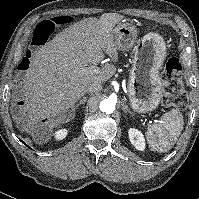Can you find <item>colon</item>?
I'll return each mask as SVG.
<instances>
[{
  "mask_svg": "<svg viewBox=\"0 0 199 199\" xmlns=\"http://www.w3.org/2000/svg\"><path fill=\"white\" fill-rule=\"evenodd\" d=\"M61 22L62 19L58 17H52L41 22L33 35V44L42 45L46 43L56 26ZM182 70L183 66L179 58L172 57L166 62L163 71L165 94L162 98V104L164 106H184L186 104V97L180 80Z\"/></svg>",
  "mask_w": 199,
  "mask_h": 199,
  "instance_id": "obj_1",
  "label": "colon"
}]
</instances>
